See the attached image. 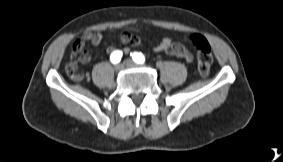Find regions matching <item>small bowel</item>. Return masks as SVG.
I'll use <instances>...</instances> for the list:
<instances>
[{"instance_id":"c3829d8e","label":"small bowel","mask_w":283,"mask_h":162,"mask_svg":"<svg viewBox=\"0 0 283 162\" xmlns=\"http://www.w3.org/2000/svg\"><path fill=\"white\" fill-rule=\"evenodd\" d=\"M119 39L123 44H129L131 46H138L140 44V38L128 31L123 32ZM102 40L103 35L99 31H86L83 33V35L73 43L70 60L66 64L67 73L69 74L70 71L77 70V65L79 63L87 64L90 62V54L83 51L86 43L98 45L102 42ZM184 42L185 39L173 41L169 37H164L155 45L153 50L156 53L164 52L169 55L183 58L187 63H192L194 57L192 53L186 49ZM107 51L111 52L112 49L108 48ZM125 52H128V50L126 49Z\"/></svg>"}]
</instances>
